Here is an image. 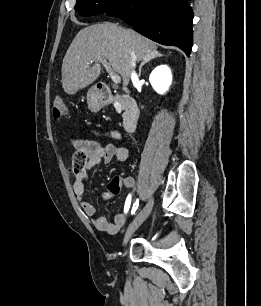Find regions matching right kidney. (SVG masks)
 Masks as SVG:
<instances>
[{
  "label": "right kidney",
  "mask_w": 261,
  "mask_h": 306,
  "mask_svg": "<svg viewBox=\"0 0 261 306\" xmlns=\"http://www.w3.org/2000/svg\"><path fill=\"white\" fill-rule=\"evenodd\" d=\"M149 81L158 94H164L172 83L171 70L166 65H160L151 72Z\"/></svg>",
  "instance_id": "ca27d5eb"
}]
</instances>
